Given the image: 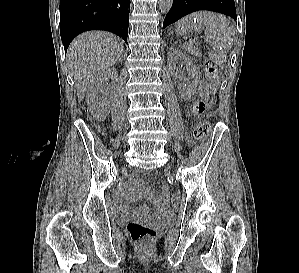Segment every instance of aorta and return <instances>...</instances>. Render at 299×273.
<instances>
[{"label":"aorta","mask_w":299,"mask_h":273,"mask_svg":"<svg viewBox=\"0 0 299 273\" xmlns=\"http://www.w3.org/2000/svg\"><path fill=\"white\" fill-rule=\"evenodd\" d=\"M173 1L174 0H160V7H161V10L164 12V13H167L171 7H172V4H173Z\"/></svg>","instance_id":"762f6f07"}]
</instances>
